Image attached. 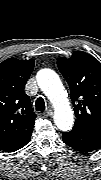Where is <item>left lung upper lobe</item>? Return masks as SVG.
<instances>
[{
	"label": "left lung upper lobe",
	"instance_id": "obj_1",
	"mask_svg": "<svg viewBox=\"0 0 101 180\" xmlns=\"http://www.w3.org/2000/svg\"><path fill=\"white\" fill-rule=\"evenodd\" d=\"M57 66L68 82L76 114L73 129L101 137V63L92 55L75 51L59 58Z\"/></svg>",
	"mask_w": 101,
	"mask_h": 180
}]
</instances>
